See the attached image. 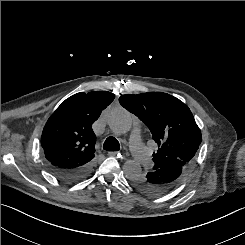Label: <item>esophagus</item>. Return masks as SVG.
Segmentation results:
<instances>
[{"label": "esophagus", "instance_id": "obj_1", "mask_svg": "<svg viewBox=\"0 0 245 245\" xmlns=\"http://www.w3.org/2000/svg\"><path fill=\"white\" fill-rule=\"evenodd\" d=\"M108 155H109V156H117V157H119V158H121V159H124V156H123V155H121L120 153L115 152V151H110V152H108Z\"/></svg>", "mask_w": 245, "mask_h": 245}]
</instances>
